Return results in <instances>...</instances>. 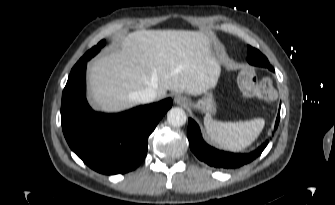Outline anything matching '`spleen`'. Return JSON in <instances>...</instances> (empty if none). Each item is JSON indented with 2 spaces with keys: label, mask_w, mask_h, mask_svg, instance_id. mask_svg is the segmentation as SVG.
I'll return each mask as SVG.
<instances>
[{
  "label": "spleen",
  "mask_w": 335,
  "mask_h": 205,
  "mask_svg": "<svg viewBox=\"0 0 335 205\" xmlns=\"http://www.w3.org/2000/svg\"><path fill=\"white\" fill-rule=\"evenodd\" d=\"M265 125L263 118L250 121L221 122L211 115L204 117L208 137L220 147L230 151H241L250 146L260 135Z\"/></svg>",
  "instance_id": "obj_1"
}]
</instances>
